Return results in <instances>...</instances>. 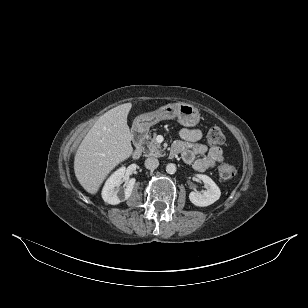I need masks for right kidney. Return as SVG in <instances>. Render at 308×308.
I'll return each mask as SVG.
<instances>
[{"label": "right kidney", "mask_w": 308, "mask_h": 308, "mask_svg": "<svg viewBox=\"0 0 308 308\" xmlns=\"http://www.w3.org/2000/svg\"><path fill=\"white\" fill-rule=\"evenodd\" d=\"M124 174L125 168L122 167L115 171L106 181L102 190V198L106 203L111 205H117L120 202L127 200L131 196L132 190L136 182L135 178H131L126 181V188L123 192H120L118 188L121 184Z\"/></svg>", "instance_id": "ca27d5eb"}]
</instances>
